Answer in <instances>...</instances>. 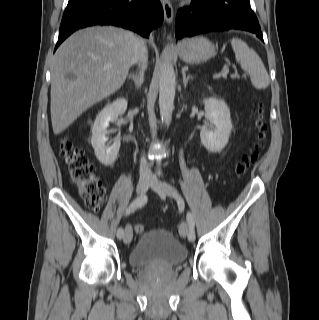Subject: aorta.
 Masks as SVG:
<instances>
[{"label": "aorta", "instance_id": "1", "mask_svg": "<svg viewBox=\"0 0 319 320\" xmlns=\"http://www.w3.org/2000/svg\"><path fill=\"white\" fill-rule=\"evenodd\" d=\"M175 72L171 61L166 58L160 68L159 109L161 120L167 121L173 109L175 97Z\"/></svg>", "mask_w": 319, "mask_h": 320}]
</instances>
